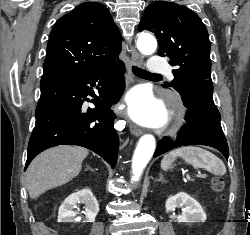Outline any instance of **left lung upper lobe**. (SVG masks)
I'll list each match as a JSON object with an SVG mask.
<instances>
[{
  "instance_id": "left-lung-upper-lobe-1",
  "label": "left lung upper lobe",
  "mask_w": 250,
  "mask_h": 235,
  "mask_svg": "<svg viewBox=\"0 0 250 235\" xmlns=\"http://www.w3.org/2000/svg\"><path fill=\"white\" fill-rule=\"evenodd\" d=\"M138 29L155 34L158 55L168 56L175 67L174 80L168 86L179 91L191 81H211L209 36L196 13L173 2H157L145 9Z\"/></svg>"
}]
</instances>
